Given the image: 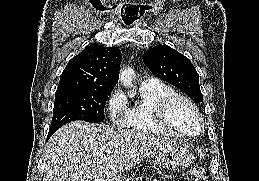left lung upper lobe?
Masks as SVG:
<instances>
[{"label":"left lung upper lobe","instance_id":"1","mask_svg":"<svg viewBox=\"0 0 259 181\" xmlns=\"http://www.w3.org/2000/svg\"><path fill=\"white\" fill-rule=\"evenodd\" d=\"M143 61L158 78L179 88L194 102H202L199 75L191 61L167 45H158L143 54Z\"/></svg>","mask_w":259,"mask_h":181}]
</instances>
